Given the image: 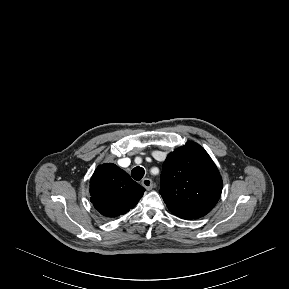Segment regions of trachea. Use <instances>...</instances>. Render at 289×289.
I'll use <instances>...</instances> for the list:
<instances>
[{
	"mask_svg": "<svg viewBox=\"0 0 289 289\" xmlns=\"http://www.w3.org/2000/svg\"><path fill=\"white\" fill-rule=\"evenodd\" d=\"M145 174V170L142 167H135L132 171H131V176L133 177V179H135L136 181H140L143 176Z\"/></svg>",
	"mask_w": 289,
	"mask_h": 289,
	"instance_id": "1",
	"label": "trachea"
}]
</instances>
